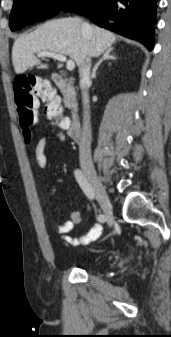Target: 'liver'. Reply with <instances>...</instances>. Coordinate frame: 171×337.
<instances>
[{"mask_svg":"<svg viewBox=\"0 0 171 337\" xmlns=\"http://www.w3.org/2000/svg\"><path fill=\"white\" fill-rule=\"evenodd\" d=\"M82 20L77 17L55 19L46 22L33 32L15 40L12 63L16 74H22L33 66L47 69L35 53L50 51L68 55L81 67L87 57H98L116 42L112 32L97 26L82 30Z\"/></svg>","mask_w":171,"mask_h":337,"instance_id":"liver-1","label":"liver"}]
</instances>
